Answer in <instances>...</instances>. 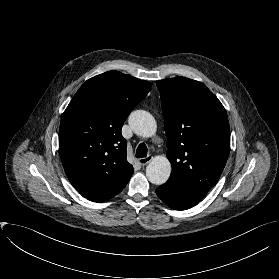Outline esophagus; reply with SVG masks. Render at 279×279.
Instances as JSON below:
<instances>
[{
  "mask_svg": "<svg viewBox=\"0 0 279 279\" xmlns=\"http://www.w3.org/2000/svg\"><path fill=\"white\" fill-rule=\"evenodd\" d=\"M153 159V157L151 155H148L147 157L144 158H140L138 160V163L142 166L147 165L151 160Z\"/></svg>",
  "mask_w": 279,
  "mask_h": 279,
  "instance_id": "esophagus-1",
  "label": "esophagus"
}]
</instances>
